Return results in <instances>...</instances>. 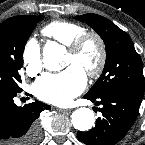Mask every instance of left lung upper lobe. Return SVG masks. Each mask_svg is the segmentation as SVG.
Returning a JSON list of instances; mask_svg holds the SVG:
<instances>
[{
    "mask_svg": "<svg viewBox=\"0 0 145 145\" xmlns=\"http://www.w3.org/2000/svg\"><path fill=\"white\" fill-rule=\"evenodd\" d=\"M75 19L90 25L106 45L103 73L86 95L98 98L113 92H127L142 98V61L128 34L97 14H84Z\"/></svg>",
    "mask_w": 145,
    "mask_h": 145,
    "instance_id": "5c2ea615",
    "label": "left lung upper lobe"
}]
</instances>
